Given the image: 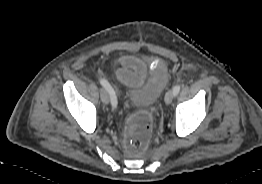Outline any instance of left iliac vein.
Masks as SVG:
<instances>
[{"instance_id": "4c4485c4", "label": "left iliac vein", "mask_w": 262, "mask_h": 184, "mask_svg": "<svg viewBox=\"0 0 262 184\" xmlns=\"http://www.w3.org/2000/svg\"><path fill=\"white\" fill-rule=\"evenodd\" d=\"M173 98H174L173 90L167 91V93L165 94V103L169 105L172 102Z\"/></svg>"}]
</instances>
